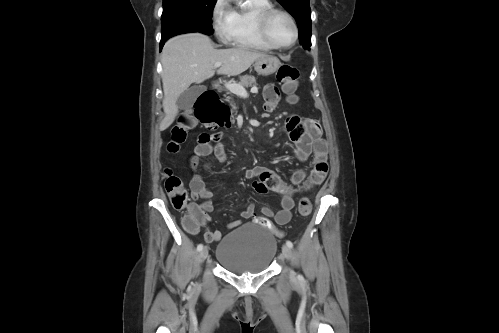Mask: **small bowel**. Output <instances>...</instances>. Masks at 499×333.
I'll use <instances>...</instances> for the list:
<instances>
[{"mask_svg":"<svg viewBox=\"0 0 499 333\" xmlns=\"http://www.w3.org/2000/svg\"><path fill=\"white\" fill-rule=\"evenodd\" d=\"M279 91L273 84H268L264 88L265 110H274L279 101ZM286 129L290 140L295 146V157L301 162L310 161V170L298 169L292 176V185L284 183L273 171L263 166H254L245 170L244 176L247 179H254L253 188L258 193L276 192L281 196L280 208L274 212L269 206H265L264 214L273 217L279 225L286 224L292 217L294 208V193L304 187L310 189L321 184L328 173V150L326 141L322 138V130L319 123L313 119H303L297 115L290 116L286 121ZM222 132L213 134H202L190 158V168L192 176L189 181L191 197L193 200L203 199L204 202L198 206L205 218L213 210L212 191L203 181L199 159L214 154L221 162H225L227 157L221 144ZM254 205L252 203L241 212L243 219L253 216ZM242 224L241 220L228 223V228H234ZM197 233L198 230L192 231ZM220 231H207L205 240L208 243L217 242L221 239Z\"/></svg>","mask_w":499,"mask_h":333,"instance_id":"1","label":"small bowel"}]
</instances>
